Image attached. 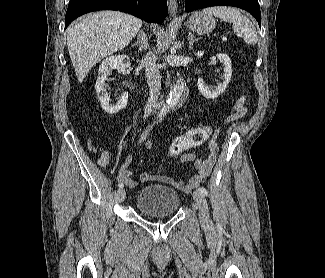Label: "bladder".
Segmentation results:
<instances>
[{"mask_svg": "<svg viewBox=\"0 0 325 278\" xmlns=\"http://www.w3.org/2000/svg\"><path fill=\"white\" fill-rule=\"evenodd\" d=\"M135 206L147 216L173 215L179 210L180 195L167 185L147 184L138 191Z\"/></svg>", "mask_w": 325, "mask_h": 278, "instance_id": "bladder-1", "label": "bladder"}]
</instances>
